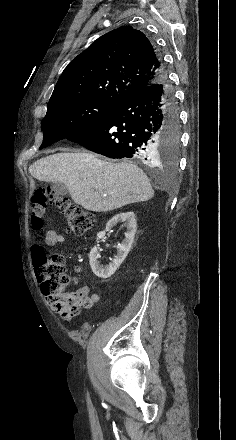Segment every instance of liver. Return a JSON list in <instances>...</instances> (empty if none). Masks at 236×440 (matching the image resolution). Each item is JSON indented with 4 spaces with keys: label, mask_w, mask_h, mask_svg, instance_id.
Returning a JSON list of instances; mask_svg holds the SVG:
<instances>
[{
    "label": "liver",
    "mask_w": 236,
    "mask_h": 440,
    "mask_svg": "<svg viewBox=\"0 0 236 440\" xmlns=\"http://www.w3.org/2000/svg\"><path fill=\"white\" fill-rule=\"evenodd\" d=\"M29 173L39 181L64 183L76 204L94 212L112 211L154 196L139 167L104 161L89 152L49 155L35 161Z\"/></svg>",
    "instance_id": "obj_1"
}]
</instances>
